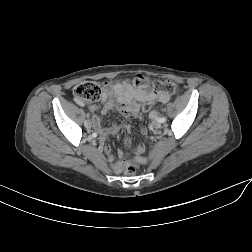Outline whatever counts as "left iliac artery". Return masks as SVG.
I'll return each mask as SVG.
<instances>
[{
  "mask_svg": "<svg viewBox=\"0 0 252 252\" xmlns=\"http://www.w3.org/2000/svg\"><path fill=\"white\" fill-rule=\"evenodd\" d=\"M156 120H158L160 123H164V122H166L167 118L166 117H160V118H157Z\"/></svg>",
  "mask_w": 252,
  "mask_h": 252,
  "instance_id": "left-iliac-artery-1",
  "label": "left iliac artery"
}]
</instances>
